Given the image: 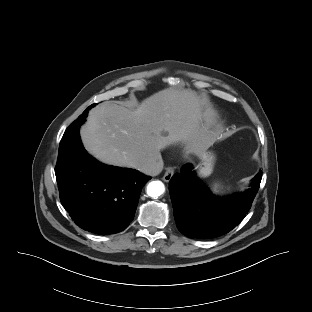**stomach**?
<instances>
[{"instance_id":"0dacf381","label":"stomach","mask_w":312,"mask_h":312,"mask_svg":"<svg viewBox=\"0 0 312 312\" xmlns=\"http://www.w3.org/2000/svg\"><path fill=\"white\" fill-rule=\"evenodd\" d=\"M201 162L198 165V174L202 177L209 176L213 171L215 156L212 152L203 150L199 153Z\"/></svg>"}]
</instances>
